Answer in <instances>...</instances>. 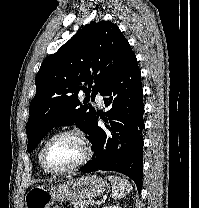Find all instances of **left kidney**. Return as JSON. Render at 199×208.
I'll return each mask as SVG.
<instances>
[{
	"mask_svg": "<svg viewBox=\"0 0 199 208\" xmlns=\"http://www.w3.org/2000/svg\"><path fill=\"white\" fill-rule=\"evenodd\" d=\"M103 208H121L119 207L118 205H109V206H106V207H103Z\"/></svg>",
	"mask_w": 199,
	"mask_h": 208,
	"instance_id": "left-kidney-1",
	"label": "left kidney"
}]
</instances>
